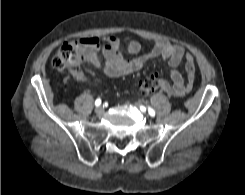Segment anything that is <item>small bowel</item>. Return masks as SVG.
Listing matches in <instances>:
<instances>
[{
	"mask_svg": "<svg viewBox=\"0 0 245 195\" xmlns=\"http://www.w3.org/2000/svg\"><path fill=\"white\" fill-rule=\"evenodd\" d=\"M86 53V59L97 69L109 77H122L140 70L145 64L161 59L168 62L172 83L162 80L161 89L170 96L183 97L191 91L195 79V60L185 48L175 45L166 40H157L152 49L141 56L127 58L125 52L136 55L141 51L138 41H131L125 47L121 41L114 36L105 38V43L95 37H86L80 40ZM185 61L184 78L178 71V66ZM82 78V75L78 76Z\"/></svg>",
	"mask_w": 245,
	"mask_h": 195,
	"instance_id": "small-bowel-1",
	"label": "small bowel"
}]
</instances>
